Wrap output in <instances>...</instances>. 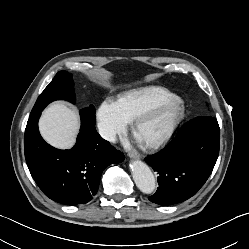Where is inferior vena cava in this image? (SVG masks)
Returning a JSON list of instances; mask_svg holds the SVG:
<instances>
[{"instance_id":"obj_1","label":"inferior vena cava","mask_w":249,"mask_h":249,"mask_svg":"<svg viewBox=\"0 0 249 249\" xmlns=\"http://www.w3.org/2000/svg\"><path fill=\"white\" fill-rule=\"evenodd\" d=\"M99 133L105 140H108L110 142L116 141V132L111 128L104 127V126L100 127Z\"/></svg>"}]
</instances>
